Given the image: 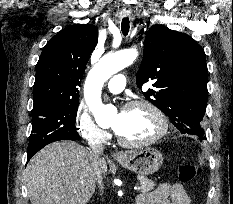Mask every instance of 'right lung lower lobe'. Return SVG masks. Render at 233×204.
<instances>
[{
    "mask_svg": "<svg viewBox=\"0 0 233 204\" xmlns=\"http://www.w3.org/2000/svg\"><path fill=\"white\" fill-rule=\"evenodd\" d=\"M71 140H75V139H71ZM39 150L35 151V150H28V155H27V161H29L31 159V157L38 152Z\"/></svg>",
    "mask_w": 233,
    "mask_h": 204,
    "instance_id": "obj_1",
    "label": "right lung lower lobe"
}]
</instances>
